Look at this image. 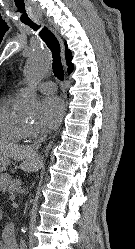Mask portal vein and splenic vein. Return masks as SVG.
I'll return each instance as SVG.
<instances>
[{"mask_svg": "<svg viewBox=\"0 0 135 249\" xmlns=\"http://www.w3.org/2000/svg\"><path fill=\"white\" fill-rule=\"evenodd\" d=\"M15 196H11V199L14 200Z\"/></svg>", "mask_w": 135, "mask_h": 249, "instance_id": "1", "label": "portal vein and splenic vein"}]
</instances>
